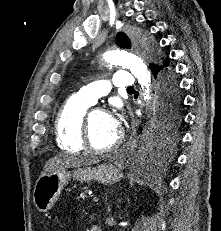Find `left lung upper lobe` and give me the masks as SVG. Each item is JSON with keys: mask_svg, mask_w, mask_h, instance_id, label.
Returning a JSON list of instances; mask_svg holds the SVG:
<instances>
[{"mask_svg": "<svg viewBox=\"0 0 221 231\" xmlns=\"http://www.w3.org/2000/svg\"><path fill=\"white\" fill-rule=\"evenodd\" d=\"M116 43L118 46H120L121 48H131V42L129 40V38L127 37V35L123 32H120L117 34L116 37ZM156 52L154 51L153 54H155ZM179 105H180V100H178L177 102H175L172 106V111L167 114L165 117H157L156 115V120L154 122V132L155 131H168L170 128L172 129V127H174L175 125H177V123H179L180 121V111H179ZM170 132V130H169Z\"/></svg>", "mask_w": 221, "mask_h": 231, "instance_id": "5c2ea615", "label": "left lung upper lobe"}]
</instances>
